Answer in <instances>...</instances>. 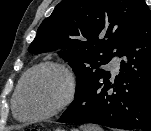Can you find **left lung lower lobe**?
Returning <instances> with one entry per match:
<instances>
[{
	"instance_id": "1",
	"label": "left lung lower lobe",
	"mask_w": 151,
	"mask_h": 131,
	"mask_svg": "<svg viewBox=\"0 0 151 131\" xmlns=\"http://www.w3.org/2000/svg\"><path fill=\"white\" fill-rule=\"evenodd\" d=\"M114 80H93L58 122L94 123L123 130L151 131V11L142 3Z\"/></svg>"
}]
</instances>
